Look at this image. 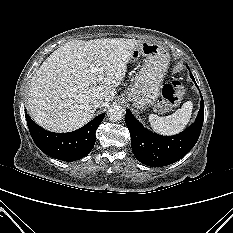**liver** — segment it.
<instances>
[{
	"mask_svg": "<svg viewBox=\"0 0 233 233\" xmlns=\"http://www.w3.org/2000/svg\"><path fill=\"white\" fill-rule=\"evenodd\" d=\"M141 41L106 38L72 40L55 50L33 75L27 93L32 119L52 132L74 131L95 113L93 101L104 106L115 98L133 50ZM90 65L97 68L91 72Z\"/></svg>",
	"mask_w": 233,
	"mask_h": 233,
	"instance_id": "6515ba94",
	"label": "liver"
}]
</instances>
